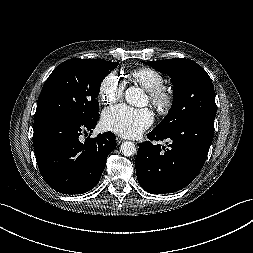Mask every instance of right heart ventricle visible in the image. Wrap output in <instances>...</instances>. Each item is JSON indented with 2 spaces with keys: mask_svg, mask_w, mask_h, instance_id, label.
<instances>
[{
  "mask_svg": "<svg viewBox=\"0 0 253 253\" xmlns=\"http://www.w3.org/2000/svg\"><path fill=\"white\" fill-rule=\"evenodd\" d=\"M130 76L147 91L155 89L163 84V77L160 72L151 67L144 66L134 69Z\"/></svg>",
  "mask_w": 253,
  "mask_h": 253,
  "instance_id": "e07e8e85",
  "label": "right heart ventricle"
}]
</instances>
